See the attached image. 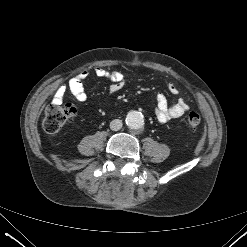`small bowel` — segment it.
Listing matches in <instances>:
<instances>
[{"label": "small bowel", "mask_w": 247, "mask_h": 247, "mask_svg": "<svg viewBox=\"0 0 247 247\" xmlns=\"http://www.w3.org/2000/svg\"><path fill=\"white\" fill-rule=\"evenodd\" d=\"M96 76L107 79L111 82L109 92L115 94L121 91L125 86L124 75L120 71H108L102 67L94 69ZM89 71H83L70 79L68 85L59 86L54 95L53 103L61 104L67 90L79 102H84L87 99V94L84 89L83 81L88 76ZM168 90L172 94L178 93V88L175 84L169 83ZM188 111V105L180 98L176 102L169 104L166 96L163 93H158L156 104V117L160 123H166L171 119L179 118Z\"/></svg>", "instance_id": "small-bowel-1"}]
</instances>
